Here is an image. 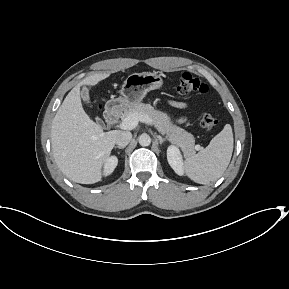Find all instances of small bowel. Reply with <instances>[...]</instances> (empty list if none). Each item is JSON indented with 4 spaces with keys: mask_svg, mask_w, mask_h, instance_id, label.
I'll list each match as a JSON object with an SVG mask.
<instances>
[{
    "mask_svg": "<svg viewBox=\"0 0 289 289\" xmlns=\"http://www.w3.org/2000/svg\"><path fill=\"white\" fill-rule=\"evenodd\" d=\"M170 104H171L173 107H176V108H184V107H186V104H185V103L179 102V101H171Z\"/></svg>",
    "mask_w": 289,
    "mask_h": 289,
    "instance_id": "obj_1",
    "label": "small bowel"
}]
</instances>
